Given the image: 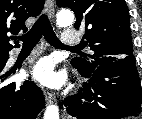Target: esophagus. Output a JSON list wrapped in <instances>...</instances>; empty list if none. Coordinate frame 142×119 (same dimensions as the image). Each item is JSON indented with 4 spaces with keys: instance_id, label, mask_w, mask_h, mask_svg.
<instances>
[{
    "instance_id": "34e87169",
    "label": "esophagus",
    "mask_w": 142,
    "mask_h": 119,
    "mask_svg": "<svg viewBox=\"0 0 142 119\" xmlns=\"http://www.w3.org/2000/svg\"><path fill=\"white\" fill-rule=\"evenodd\" d=\"M45 7L47 14L49 15L50 18H52L54 15V1L46 0ZM44 96L46 98L47 103H51L52 100L54 99V94L47 90H44Z\"/></svg>"
}]
</instances>
